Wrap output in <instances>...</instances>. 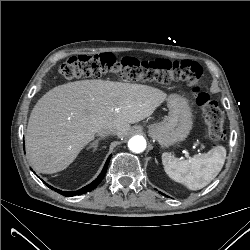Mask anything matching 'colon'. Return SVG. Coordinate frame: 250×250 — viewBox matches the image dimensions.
<instances>
[{
	"label": "colon",
	"instance_id": "colon-1",
	"mask_svg": "<svg viewBox=\"0 0 250 250\" xmlns=\"http://www.w3.org/2000/svg\"><path fill=\"white\" fill-rule=\"evenodd\" d=\"M59 72L67 80L113 75L134 81L159 84L185 82L191 87L196 104L204 114L208 134L212 141L218 144L225 139L223 113L211 95L200 86L203 70L197 63L187 60L116 58L110 53H103L72 56L60 66Z\"/></svg>",
	"mask_w": 250,
	"mask_h": 250
}]
</instances>
